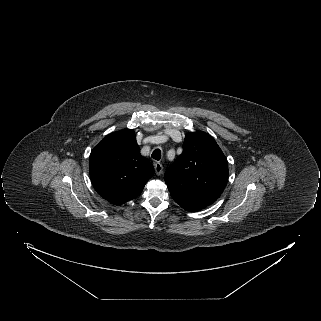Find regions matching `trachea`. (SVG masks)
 Listing matches in <instances>:
<instances>
[{
	"label": "trachea",
	"instance_id": "obj_1",
	"mask_svg": "<svg viewBox=\"0 0 321 321\" xmlns=\"http://www.w3.org/2000/svg\"><path fill=\"white\" fill-rule=\"evenodd\" d=\"M152 158L159 161L161 159V150L160 149H155L152 153Z\"/></svg>",
	"mask_w": 321,
	"mask_h": 321
}]
</instances>
